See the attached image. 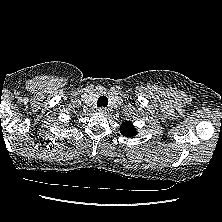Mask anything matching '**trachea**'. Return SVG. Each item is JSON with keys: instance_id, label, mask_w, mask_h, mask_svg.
Returning <instances> with one entry per match:
<instances>
[{"instance_id": "1", "label": "trachea", "mask_w": 222, "mask_h": 222, "mask_svg": "<svg viewBox=\"0 0 222 222\" xmlns=\"http://www.w3.org/2000/svg\"><path fill=\"white\" fill-rule=\"evenodd\" d=\"M108 98L106 96H100L97 101V106L99 107H107Z\"/></svg>"}]
</instances>
